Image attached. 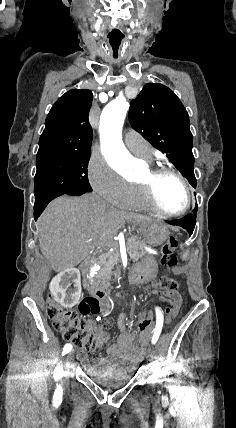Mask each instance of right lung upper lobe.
<instances>
[{
  "mask_svg": "<svg viewBox=\"0 0 236 428\" xmlns=\"http://www.w3.org/2000/svg\"><path fill=\"white\" fill-rule=\"evenodd\" d=\"M91 102L92 92L86 89H72L61 96L46 118L38 153H90Z\"/></svg>",
  "mask_w": 236,
  "mask_h": 428,
  "instance_id": "cb5924a9",
  "label": "right lung upper lobe"
}]
</instances>
